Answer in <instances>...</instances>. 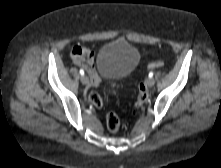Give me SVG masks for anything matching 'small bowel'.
<instances>
[{
  "label": "small bowel",
  "mask_w": 221,
  "mask_h": 168,
  "mask_svg": "<svg viewBox=\"0 0 221 168\" xmlns=\"http://www.w3.org/2000/svg\"><path fill=\"white\" fill-rule=\"evenodd\" d=\"M71 58L76 65L88 71L92 84L98 85L101 82V77L95 69L96 61L93 51L86 47L76 46L71 52Z\"/></svg>",
  "instance_id": "1"
}]
</instances>
